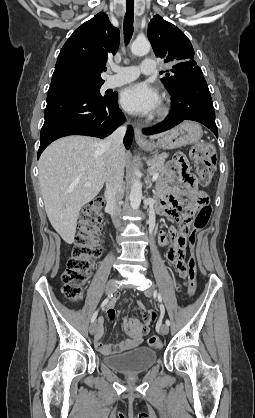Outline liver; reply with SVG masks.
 Returning <instances> with one entry per match:
<instances>
[{"label": "liver", "mask_w": 255, "mask_h": 418, "mask_svg": "<svg viewBox=\"0 0 255 418\" xmlns=\"http://www.w3.org/2000/svg\"><path fill=\"white\" fill-rule=\"evenodd\" d=\"M160 133L151 136L157 139ZM102 140L87 136H68L49 145L39 159V182L48 219L62 237L74 242L81 208L102 189L107 172ZM120 157L127 165L122 146ZM90 182L89 186L85 183Z\"/></svg>", "instance_id": "obj_1"}]
</instances>
